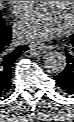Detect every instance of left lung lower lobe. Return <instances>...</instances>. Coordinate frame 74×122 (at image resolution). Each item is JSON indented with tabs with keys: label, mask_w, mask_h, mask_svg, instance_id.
<instances>
[{
	"label": "left lung lower lobe",
	"mask_w": 74,
	"mask_h": 122,
	"mask_svg": "<svg viewBox=\"0 0 74 122\" xmlns=\"http://www.w3.org/2000/svg\"><path fill=\"white\" fill-rule=\"evenodd\" d=\"M73 48L66 52V68L55 79L60 89L67 94H74V34L71 36Z\"/></svg>",
	"instance_id": "0a47b994"
}]
</instances>
